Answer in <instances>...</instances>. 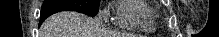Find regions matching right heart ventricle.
Returning <instances> with one entry per match:
<instances>
[{"mask_svg": "<svg viewBox=\"0 0 219 37\" xmlns=\"http://www.w3.org/2000/svg\"><path fill=\"white\" fill-rule=\"evenodd\" d=\"M156 13L150 1L125 0L117 9L116 24L127 29L150 30Z\"/></svg>", "mask_w": 219, "mask_h": 37, "instance_id": "right-heart-ventricle-1", "label": "right heart ventricle"}]
</instances>
